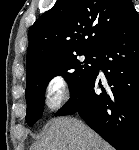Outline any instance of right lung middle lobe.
Segmentation results:
<instances>
[{"instance_id": "right-lung-middle-lobe-1", "label": "right lung middle lobe", "mask_w": 139, "mask_h": 150, "mask_svg": "<svg viewBox=\"0 0 139 150\" xmlns=\"http://www.w3.org/2000/svg\"><path fill=\"white\" fill-rule=\"evenodd\" d=\"M85 56L83 61L77 56ZM98 52H78L53 59L42 65L26 77V122L31 127L42 116L45 102V90L49 81L62 75L69 85L70 92L82 85L94 72L97 65Z\"/></svg>"}]
</instances>
